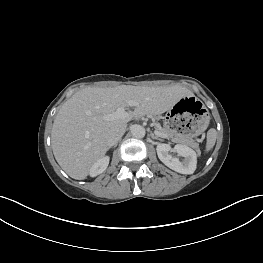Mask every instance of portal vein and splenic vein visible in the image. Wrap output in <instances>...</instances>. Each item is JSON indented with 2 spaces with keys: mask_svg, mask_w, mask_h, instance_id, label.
<instances>
[{
  "mask_svg": "<svg viewBox=\"0 0 263 263\" xmlns=\"http://www.w3.org/2000/svg\"><path fill=\"white\" fill-rule=\"evenodd\" d=\"M128 105L129 106H135L136 103L133 102V101H129L128 102ZM129 116V113L127 111H125V107H119L117 108V110L111 114H108L105 118L107 120H115V119H124V118H127ZM155 133L158 135V136H161L163 137L164 135L159 132L158 130L155 131Z\"/></svg>",
  "mask_w": 263,
  "mask_h": 263,
  "instance_id": "obj_1",
  "label": "portal vein and splenic vein"
}]
</instances>
